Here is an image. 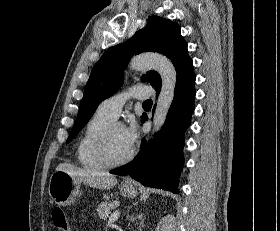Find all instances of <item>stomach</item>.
<instances>
[{
    "label": "stomach",
    "instance_id": "obj_1",
    "mask_svg": "<svg viewBox=\"0 0 280 231\" xmlns=\"http://www.w3.org/2000/svg\"><path fill=\"white\" fill-rule=\"evenodd\" d=\"M81 189V181L73 179L66 171H54L50 177L48 193L55 203L58 205H71L75 197L79 195ZM122 195L125 197H135L137 189L132 185L128 187H119Z\"/></svg>",
    "mask_w": 280,
    "mask_h": 231
}]
</instances>
